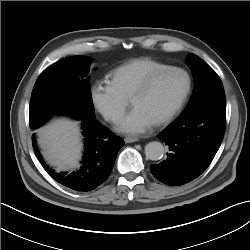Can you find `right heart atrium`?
<instances>
[{
    "label": "right heart atrium",
    "instance_id": "right-heart-atrium-1",
    "mask_svg": "<svg viewBox=\"0 0 250 250\" xmlns=\"http://www.w3.org/2000/svg\"><path fill=\"white\" fill-rule=\"evenodd\" d=\"M90 99L93 107L111 123L122 118L129 99L122 95L110 80L101 79L92 84Z\"/></svg>",
    "mask_w": 250,
    "mask_h": 250
}]
</instances>
